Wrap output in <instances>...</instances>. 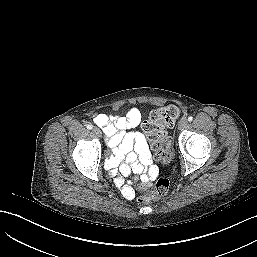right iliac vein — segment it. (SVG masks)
<instances>
[{"instance_id":"right-iliac-vein-1","label":"right iliac vein","mask_w":257,"mask_h":257,"mask_svg":"<svg viewBox=\"0 0 257 257\" xmlns=\"http://www.w3.org/2000/svg\"><path fill=\"white\" fill-rule=\"evenodd\" d=\"M92 132H93L94 135H96V136H98V137H101V135H102L100 129L97 128V127H94V128L92 129Z\"/></svg>"}]
</instances>
